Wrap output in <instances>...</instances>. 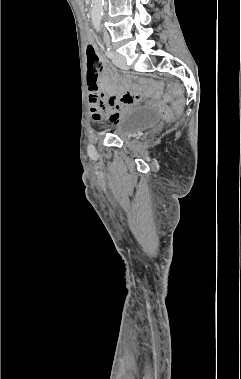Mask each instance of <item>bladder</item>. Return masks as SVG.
<instances>
[{
	"mask_svg": "<svg viewBox=\"0 0 241 379\" xmlns=\"http://www.w3.org/2000/svg\"><path fill=\"white\" fill-rule=\"evenodd\" d=\"M159 120L160 115L154 108L137 106L117 121L115 134L121 139H128L139 132L154 127Z\"/></svg>",
	"mask_w": 241,
	"mask_h": 379,
	"instance_id": "31cf9c89",
	"label": "bladder"
}]
</instances>
